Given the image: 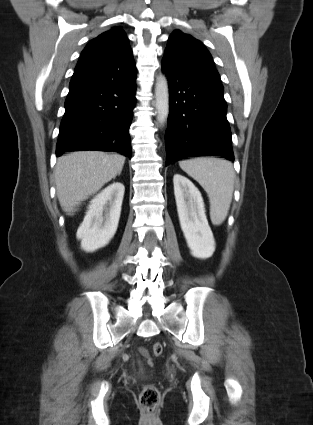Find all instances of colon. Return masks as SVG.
<instances>
[{"label":"colon","instance_id":"5ec220e1","mask_svg":"<svg viewBox=\"0 0 313 425\" xmlns=\"http://www.w3.org/2000/svg\"><path fill=\"white\" fill-rule=\"evenodd\" d=\"M154 356H160L163 352V345L156 342L152 346ZM140 406L147 414H154L160 404V393L154 385H146L140 394Z\"/></svg>","mask_w":313,"mask_h":425}]
</instances>
